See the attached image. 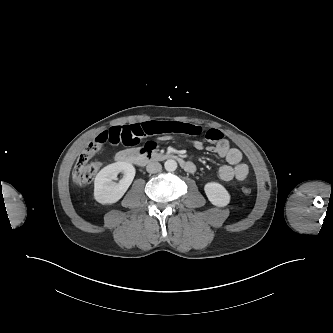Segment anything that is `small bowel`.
I'll return each mask as SVG.
<instances>
[{
	"mask_svg": "<svg viewBox=\"0 0 333 333\" xmlns=\"http://www.w3.org/2000/svg\"><path fill=\"white\" fill-rule=\"evenodd\" d=\"M203 133L199 126L179 121H148L125 126L112 127L101 133L97 140L110 142L111 144H122L133 147L139 144L141 139L147 136L160 135L164 140L171 135L178 134L188 137H196ZM205 138L212 145L207 150L226 160L227 164L219 168L218 174L223 181L236 179L242 181L249 174V167L242 162V153L239 149L231 147L223 134L215 129H210L204 133ZM193 147L197 150H203L204 144L201 140L191 139ZM188 172H196L194 163L189 162Z\"/></svg>",
	"mask_w": 333,
	"mask_h": 333,
	"instance_id": "1",
	"label": "small bowel"
}]
</instances>
